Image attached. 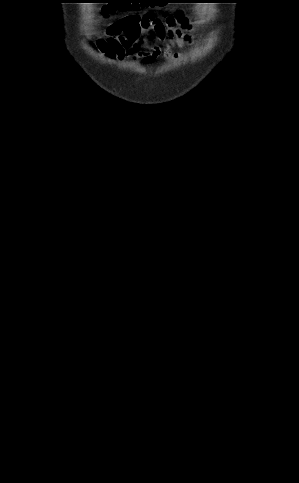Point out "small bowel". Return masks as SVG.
<instances>
[{
	"label": "small bowel",
	"instance_id": "small-bowel-1",
	"mask_svg": "<svg viewBox=\"0 0 299 483\" xmlns=\"http://www.w3.org/2000/svg\"><path fill=\"white\" fill-rule=\"evenodd\" d=\"M190 19L181 10L168 13L166 20H161L154 12H133L109 24L105 37L89 42L96 52L111 60L148 63L158 57L168 61H178L182 57L180 50L192 42ZM146 36V43L139 39ZM156 41H165L161 48Z\"/></svg>",
	"mask_w": 299,
	"mask_h": 483
}]
</instances>
